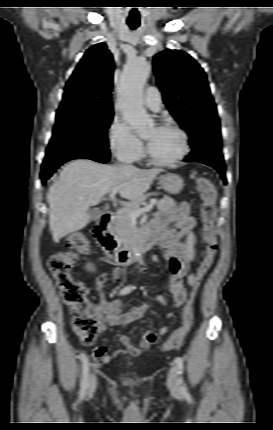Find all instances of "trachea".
Returning a JSON list of instances; mask_svg holds the SVG:
<instances>
[{
    "label": "trachea",
    "instance_id": "trachea-1",
    "mask_svg": "<svg viewBox=\"0 0 273 430\" xmlns=\"http://www.w3.org/2000/svg\"><path fill=\"white\" fill-rule=\"evenodd\" d=\"M128 25L131 29H136L139 26V24H133V23H128Z\"/></svg>",
    "mask_w": 273,
    "mask_h": 430
}]
</instances>
